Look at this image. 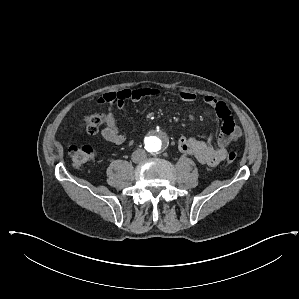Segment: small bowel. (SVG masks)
I'll return each instance as SVG.
<instances>
[{
	"mask_svg": "<svg viewBox=\"0 0 299 299\" xmlns=\"http://www.w3.org/2000/svg\"><path fill=\"white\" fill-rule=\"evenodd\" d=\"M160 91L157 88L122 89L109 92L98 99L99 104H109L111 110L104 115L101 128L102 137L116 145L126 141L118 127L117 114L122 110L127 101H139L146 97H157ZM180 99L185 102H193L196 96L188 91L180 93ZM204 103L211 107L221 121V132L214 145V135H208L205 141L181 136L177 145L181 152L196 158L201 164L216 166L226 159L227 147L236 142L241 136L240 128L235 124L231 111L225 102L212 96H205Z\"/></svg>",
	"mask_w": 299,
	"mask_h": 299,
	"instance_id": "small-bowel-1",
	"label": "small bowel"
}]
</instances>
